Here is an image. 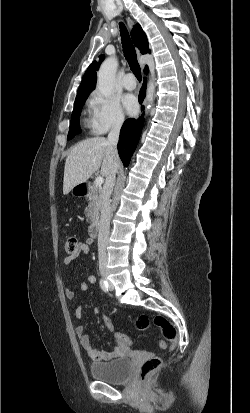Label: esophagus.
Masks as SVG:
<instances>
[{
  "label": "esophagus",
  "instance_id": "esophagus-1",
  "mask_svg": "<svg viewBox=\"0 0 250 413\" xmlns=\"http://www.w3.org/2000/svg\"><path fill=\"white\" fill-rule=\"evenodd\" d=\"M127 24H128V26H129L130 29H132L133 26H134V22H133V20L130 19V18H127ZM141 67L143 68V65H141Z\"/></svg>",
  "mask_w": 250,
  "mask_h": 413
}]
</instances>
